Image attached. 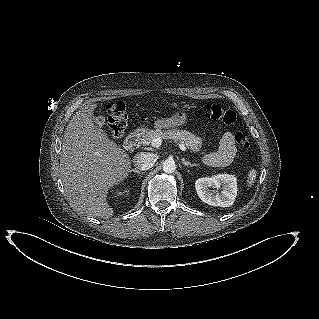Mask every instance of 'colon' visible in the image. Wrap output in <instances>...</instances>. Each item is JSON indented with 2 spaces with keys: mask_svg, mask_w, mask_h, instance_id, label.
Instances as JSON below:
<instances>
[{
  "mask_svg": "<svg viewBox=\"0 0 319 319\" xmlns=\"http://www.w3.org/2000/svg\"><path fill=\"white\" fill-rule=\"evenodd\" d=\"M108 116V127L113 137L119 138L123 135L127 126V109L123 101H116L105 107ZM202 115L211 120L222 122L228 126L235 127L236 115L232 110L224 109L219 105L208 104L204 107ZM235 143L242 149L248 151L251 143L248 134L237 131L234 135Z\"/></svg>",
  "mask_w": 319,
  "mask_h": 319,
  "instance_id": "obj_1",
  "label": "colon"
}]
</instances>
